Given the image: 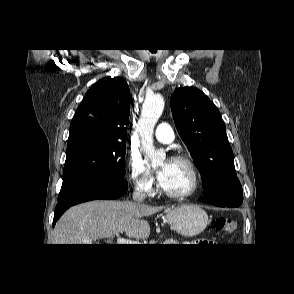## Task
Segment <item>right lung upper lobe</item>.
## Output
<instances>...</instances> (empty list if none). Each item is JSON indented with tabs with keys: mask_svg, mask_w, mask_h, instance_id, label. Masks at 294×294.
Listing matches in <instances>:
<instances>
[{
	"mask_svg": "<svg viewBox=\"0 0 294 294\" xmlns=\"http://www.w3.org/2000/svg\"><path fill=\"white\" fill-rule=\"evenodd\" d=\"M130 114V90L120 77H107L86 93L70 124L67 144L80 141L124 143Z\"/></svg>",
	"mask_w": 294,
	"mask_h": 294,
	"instance_id": "right-lung-upper-lobe-1",
	"label": "right lung upper lobe"
}]
</instances>
